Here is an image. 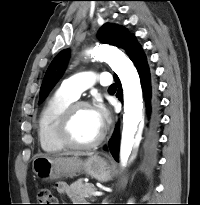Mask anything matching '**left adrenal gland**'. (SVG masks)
Masks as SVG:
<instances>
[{"mask_svg": "<svg viewBox=\"0 0 200 205\" xmlns=\"http://www.w3.org/2000/svg\"><path fill=\"white\" fill-rule=\"evenodd\" d=\"M106 201H107V198H105L102 203H103V204H107Z\"/></svg>", "mask_w": 200, "mask_h": 205, "instance_id": "obj_1", "label": "left adrenal gland"}]
</instances>
